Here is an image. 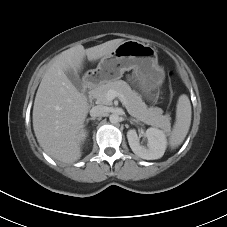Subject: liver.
I'll return each mask as SVG.
<instances>
[{"label": "liver", "instance_id": "6515ba94", "mask_svg": "<svg viewBox=\"0 0 227 227\" xmlns=\"http://www.w3.org/2000/svg\"><path fill=\"white\" fill-rule=\"evenodd\" d=\"M123 39H114L84 49L74 46L55 57L44 74L33 106V129L39 145L52 158L74 163L81 157V134L88 113L87 98L68 79L78 73L85 57L95 61L108 55Z\"/></svg>", "mask_w": 227, "mask_h": 227}]
</instances>
